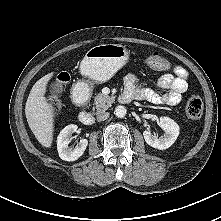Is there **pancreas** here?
Returning <instances> with one entry per match:
<instances>
[{
  "mask_svg": "<svg viewBox=\"0 0 221 221\" xmlns=\"http://www.w3.org/2000/svg\"><path fill=\"white\" fill-rule=\"evenodd\" d=\"M115 97H110L108 95L99 93L95 97V108L98 113L107 110L111 104L114 102Z\"/></svg>",
  "mask_w": 221,
  "mask_h": 221,
  "instance_id": "obj_1",
  "label": "pancreas"
}]
</instances>
